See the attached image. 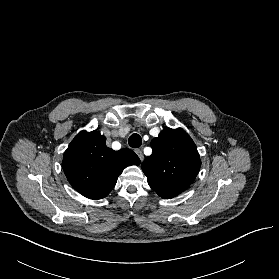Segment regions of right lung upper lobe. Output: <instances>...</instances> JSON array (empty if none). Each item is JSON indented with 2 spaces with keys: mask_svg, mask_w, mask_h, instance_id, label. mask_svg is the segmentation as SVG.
Listing matches in <instances>:
<instances>
[{
  "mask_svg": "<svg viewBox=\"0 0 279 279\" xmlns=\"http://www.w3.org/2000/svg\"><path fill=\"white\" fill-rule=\"evenodd\" d=\"M98 131L80 132L63 156V169L70 184L89 199L106 197L123 169L139 165L140 159L130 149L114 151Z\"/></svg>",
  "mask_w": 279,
  "mask_h": 279,
  "instance_id": "1",
  "label": "right lung upper lobe"
}]
</instances>
